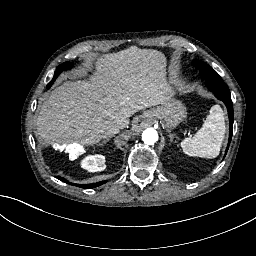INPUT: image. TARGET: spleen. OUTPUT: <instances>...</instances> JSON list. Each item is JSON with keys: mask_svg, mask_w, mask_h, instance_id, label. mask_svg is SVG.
Here are the masks:
<instances>
[{"mask_svg": "<svg viewBox=\"0 0 256 256\" xmlns=\"http://www.w3.org/2000/svg\"><path fill=\"white\" fill-rule=\"evenodd\" d=\"M224 133L223 110L219 105H214L206 116L202 127L192 138H185L180 143V147L188 157L213 159L219 154Z\"/></svg>", "mask_w": 256, "mask_h": 256, "instance_id": "3e777b00", "label": "spleen"}]
</instances>
